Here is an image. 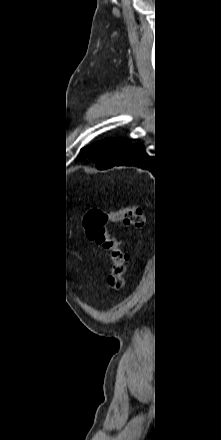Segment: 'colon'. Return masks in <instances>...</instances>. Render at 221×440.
Masks as SVG:
<instances>
[{
    "instance_id": "5ec220e1",
    "label": "colon",
    "mask_w": 221,
    "mask_h": 440,
    "mask_svg": "<svg viewBox=\"0 0 221 440\" xmlns=\"http://www.w3.org/2000/svg\"><path fill=\"white\" fill-rule=\"evenodd\" d=\"M124 221L133 226L143 224V213L137 209H127L115 213L101 215H87L84 219V228L88 238L111 254L112 267L108 278L109 287L119 292L124 286L127 255L122 249L121 242L111 236L106 225L111 222Z\"/></svg>"
}]
</instances>
